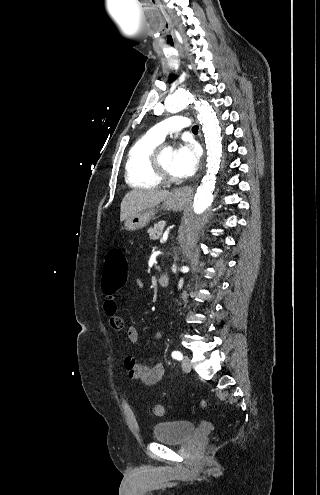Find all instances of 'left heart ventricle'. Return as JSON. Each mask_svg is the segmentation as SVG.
<instances>
[{"instance_id":"left-heart-ventricle-1","label":"left heart ventricle","mask_w":320,"mask_h":495,"mask_svg":"<svg viewBox=\"0 0 320 495\" xmlns=\"http://www.w3.org/2000/svg\"><path fill=\"white\" fill-rule=\"evenodd\" d=\"M173 156H174V150L171 147H164L161 153V161L164 166V168L171 174L174 175L173 173Z\"/></svg>"}]
</instances>
